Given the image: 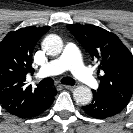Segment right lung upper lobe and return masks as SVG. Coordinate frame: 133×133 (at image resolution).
I'll return each mask as SVG.
<instances>
[{
	"mask_svg": "<svg viewBox=\"0 0 133 133\" xmlns=\"http://www.w3.org/2000/svg\"><path fill=\"white\" fill-rule=\"evenodd\" d=\"M49 26H34L9 32L0 42V104L12 115L27 117L35 113L49 94L50 88L26 85L33 49Z\"/></svg>",
	"mask_w": 133,
	"mask_h": 133,
	"instance_id": "obj_1",
	"label": "right lung upper lobe"
}]
</instances>
